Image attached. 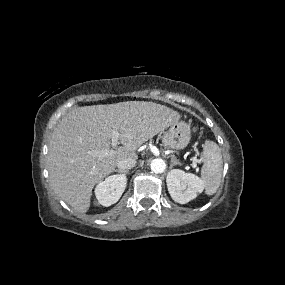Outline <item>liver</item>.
<instances>
[{
	"label": "liver",
	"instance_id": "6515ba94",
	"mask_svg": "<svg viewBox=\"0 0 285 285\" xmlns=\"http://www.w3.org/2000/svg\"><path fill=\"white\" fill-rule=\"evenodd\" d=\"M179 119L177 111L146 101L71 110L58 122L50 140L47 160L53 190L75 211L86 213L94 186L111 174L120 160H136L140 146ZM114 130L120 133L121 146L99 159L96 152L110 150Z\"/></svg>",
	"mask_w": 285,
	"mask_h": 285
}]
</instances>
